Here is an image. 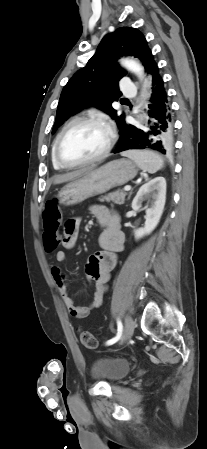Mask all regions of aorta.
I'll use <instances>...</instances> for the list:
<instances>
[{"label":"aorta","instance_id":"1","mask_svg":"<svg viewBox=\"0 0 207 449\" xmlns=\"http://www.w3.org/2000/svg\"><path fill=\"white\" fill-rule=\"evenodd\" d=\"M122 66L128 69L129 71L135 73L141 81L145 80V74L143 67L132 60L125 59L121 62Z\"/></svg>","mask_w":207,"mask_h":449}]
</instances>
